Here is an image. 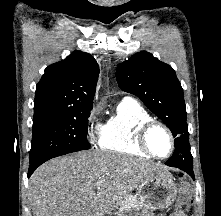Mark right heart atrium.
<instances>
[{"label":"right heart atrium","instance_id":"1","mask_svg":"<svg viewBox=\"0 0 221 216\" xmlns=\"http://www.w3.org/2000/svg\"><path fill=\"white\" fill-rule=\"evenodd\" d=\"M97 109L91 111V118L87 127V137L91 143H95L99 137L101 125L97 120Z\"/></svg>","mask_w":221,"mask_h":216}]
</instances>
